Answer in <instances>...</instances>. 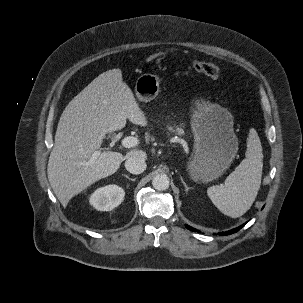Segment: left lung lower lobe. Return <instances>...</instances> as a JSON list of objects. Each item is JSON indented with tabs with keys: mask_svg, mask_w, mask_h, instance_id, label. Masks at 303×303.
Masks as SVG:
<instances>
[{
	"mask_svg": "<svg viewBox=\"0 0 303 303\" xmlns=\"http://www.w3.org/2000/svg\"><path fill=\"white\" fill-rule=\"evenodd\" d=\"M245 224H246V223H245ZM245 224H243V225H241V226H239V227H237V228H235V229L229 230V231H227V232H222L221 234H222V235L233 234V233L239 231ZM185 226L187 227V229H189V230H191V231H193V232H196V229H195V228H192L191 226H188V225H185Z\"/></svg>",
	"mask_w": 303,
	"mask_h": 303,
	"instance_id": "1",
	"label": "left lung lower lobe"
}]
</instances>
